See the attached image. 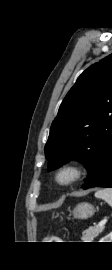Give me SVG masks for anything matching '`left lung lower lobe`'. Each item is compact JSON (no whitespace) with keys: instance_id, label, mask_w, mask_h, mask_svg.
I'll return each instance as SVG.
<instances>
[{"instance_id":"0a47b994","label":"left lung lower lobe","mask_w":112,"mask_h":270,"mask_svg":"<svg viewBox=\"0 0 112 270\" xmlns=\"http://www.w3.org/2000/svg\"><path fill=\"white\" fill-rule=\"evenodd\" d=\"M92 187L112 188V145L106 152L99 172L82 186L83 189Z\"/></svg>"}]
</instances>
